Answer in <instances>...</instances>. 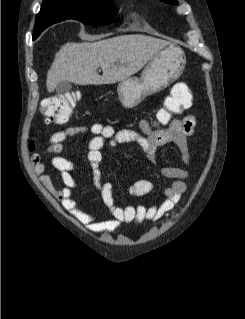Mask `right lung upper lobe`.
<instances>
[{
	"label": "right lung upper lobe",
	"instance_id": "1",
	"mask_svg": "<svg viewBox=\"0 0 245 319\" xmlns=\"http://www.w3.org/2000/svg\"><path fill=\"white\" fill-rule=\"evenodd\" d=\"M51 1H54V0H44L43 1V5L41 7V10L36 17V24L39 27L44 28V29L46 27H48L49 25L58 22L51 15L52 7L48 5V3ZM39 32H41V30L34 27V37H37L39 35Z\"/></svg>",
	"mask_w": 245,
	"mask_h": 319
}]
</instances>
